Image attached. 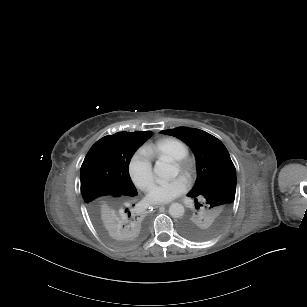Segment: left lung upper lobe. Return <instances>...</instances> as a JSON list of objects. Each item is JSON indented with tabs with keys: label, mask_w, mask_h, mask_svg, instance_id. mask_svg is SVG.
I'll list each match as a JSON object with an SVG mask.
<instances>
[{
	"label": "left lung upper lobe",
	"mask_w": 307,
	"mask_h": 307,
	"mask_svg": "<svg viewBox=\"0 0 307 307\" xmlns=\"http://www.w3.org/2000/svg\"><path fill=\"white\" fill-rule=\"evenodd\" d=\"M190 146L196 157L197 180L188 193L196 205L180 224V231L191 240H206L224 226L236 191V169L223 143L211 134L188 127L161 131Z\"/></svg>",
	"instance_id": "1"
}]
</instances>
